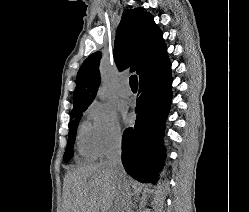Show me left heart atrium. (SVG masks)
Here are the masks:
<instances>
[{"label": "left heart atrium", "instance_id": "1", "mask_svg": "<svg viewBox=\"0 0 249 212\" xmlns=\"http://www.w3.org/2000/svg\"><path fill=\"white\" fill-rule=\"evenodd\" d=\"M124 122H125L126 124H130V122H131L130 117H129V116H125V117H124Z\"/></svg>", "mask_w": 249, "mask_h": 212}]
</instances>
